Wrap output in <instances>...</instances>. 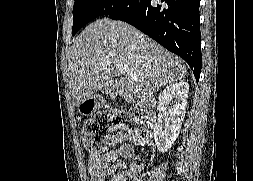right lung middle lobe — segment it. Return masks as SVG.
Segmentation results:
<instances>
[{"label": "right lung middle lobe", "instance_id": "right-lung-middle-lobe-1", "mask_svg": "<svg viewBox=\"0 0 253 181\" xmlns=\"http://www.w3.org/2000/svg\"><path fill=\"white\" fill-rule=\"evenodd\" d=\"M128 0H75L73 28L75 35L85 24L100 15H109L121 9Z\"/></svg>", "mask_w": 253, "mask_h": 181}]
</instances>
